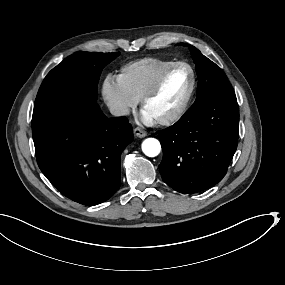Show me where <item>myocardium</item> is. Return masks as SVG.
Masks as SVG:
<instances>
[{"instance_id":"obj_1","label":"myocardium","mask_w":285,"mask_h":285,"mask_svg":"<svg viewBox=\"0 0 285 285\" xmlns=\"http://www.w3.org/2000/svg\"><path fill=\"white\" fill-rule=\"evenodd\" d=\"M185 71H188V73L190 74V77H191L190 86H189V90L187 92V95H186L182 105L177 110L157 119V121L161 124L173 123V122L177 121L178 119H180L183 116V114L187 111V109L191 103L194 88H195V77H194L193 72L190 69H187V68L182 67V66L171 67V68L167 69L158 78V80L155 82V84L152 87H150L147 91H145L143 93V95L140 97V106H141V109H143L144 106L146 105V103L151 99V97L154 96L156 93H158L161 90V88L163 87L165 82L173 74L185 73Z\"/></svg>"}]
</instances>
